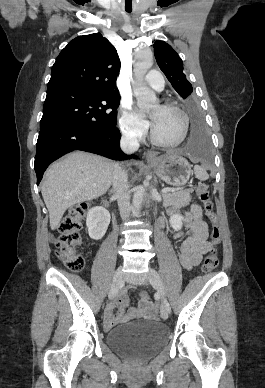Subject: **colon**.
Returning <instances> with one entry per match:
<instances>
[{"mask_svg": "<svg viewBox=\"0 0 265 388\" xmlns=\"http://www.w3.org/2000/svg\"><path fill=\"white\" fill-rule=\"evenodd\" d=\"M197 194L212 227L211 241L214 245H218L221 240V234L218 227L217 215L210 198L209 186L205 183L198 184ZM89 208L90 206L85 203L71 207L58 227L59 236L57 239L56 254L57 257L72 271L82 270L85 264L84 257L79 251V247L82 243L80 230ZM217 265L218 252L216 249H213L206 254L202 263V269L205 272H210L214 270ZM138 294L143 302L151 304V297L147 291L141 290Z\"/></svg>", "mask_w": 265, "mask_h": 388, "instance_id": "colon-1", "label": "colon"}]
</instances>
